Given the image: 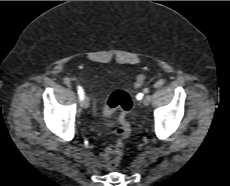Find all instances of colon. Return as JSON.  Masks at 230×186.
I'll return each instance as SVG.
<instances>
[{
  "mask_svg": "<svg viewBox=\"0 0 230 186\" xmlns=\"http://www.w3.org/2000/svg\"><path fill=\"white\" fill-rule=\"evenodd\" d=\"M145 81L144 74L137 75L135 86L140 87ZM132 107V101L129 94L123 90L113 92L103 109V114L109 116L114 110H120L119 126L116 129V141L114 144L107 146L101 153L103 165L109 169L117 167L122 159L124 150V140L131 131L128 121V114Z\"/></svg>",
  "mask_w": 230,
  "mask_h": 186,
  "instance_id": "1",
  "label": "colon"
}]
</instances>
